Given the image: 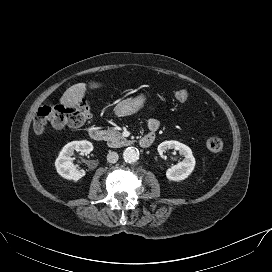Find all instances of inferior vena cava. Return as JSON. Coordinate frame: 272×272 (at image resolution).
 I'll list each match as a JSON object with an SVG mask.
<instances>
[{"label": "inferior vena cava", "instance_id": "obj_1", "mask_svg": "<svg viewBox=\"0 0 272 272\" xmlns=\"http://www.w3.org/2000/svg\"><path fill=\"white\" fill-rule=\"evenodd\" d=\"M118 154L117 152L114 151H109L108 155H107V161L109 163H116L118 161Z\"/></svg>", "mask_w": 272, "mask_h": 272}]
</instances>
